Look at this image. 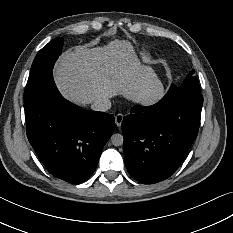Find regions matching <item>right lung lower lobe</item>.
Here are the masks:
<instances>
[{
	"mask_svg": "<svg viewBox=\"0 0 233 233\" xmlns=\"http://www.w3.org/2000/svg\"><path fill=\"white\" fill-rule=\"evenodd\" d=\"M27 137L46 169L72 184L95 171L114 130V116L64 99L54 80L24 103Z\"/></svg>",
	"mask_w": 233,
	"mask_h": 233,
	"instance_id": "obj_1",
	"label": "right lung lower lobe"
}]
</instances>
